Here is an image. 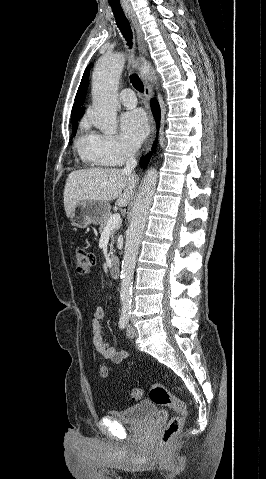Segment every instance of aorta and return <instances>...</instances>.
Returning <instances> with one entry per match:
<instances>
[{"instance_id":"1","label":"aorta","mask_w":266,"mask_h":479,"mask_svg":"<svg viewBox=\"0 0 266 479\" xmlns=\"http://www.w3.org/2000/svg\"><path fill=\"white\" fill-rule=\"evenodd\" d=\"M124 62L125 59L122 54H108L98 60L93 72V104L89 113V119L97 128L107 134H114L117 130V91ZM152 182V177H147L144 189L139 197V209L126 232L125 251L120 275V298L123 314L131 312L132 280L145 228V211L150 200Z\"/></svg>"}]
</instances>
